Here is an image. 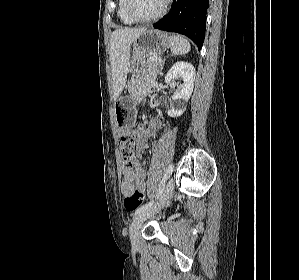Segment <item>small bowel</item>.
<instances>
[{"mask_svg":"<svg viewBox=\"0 0 299 280\" xmlns=\"http://www.w3.org/2000/svg\"><path fill=\"white\" fill-rule=\"evenodd\" d=\"M161 129V123L158 119L149 120L147 127L144 129L142 136H138L136 148H135V159L138 161L142 156V151L146 147V142L154 137ZM128 130H123V135H128ZM146 173L144 169L137 166L133 170L125 171L123 173V180L121 182V192L127 197L130 196L134 191L140 192L144 195L146 190Z\"/></svg>","mask_w":299,"mask_h":280,"instance_id":"c3829d8e","label":"small bowel"}]
</instances>
